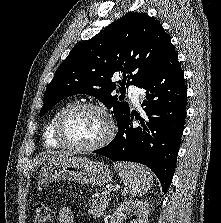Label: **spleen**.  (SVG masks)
Here are the masks:
<instances>
[{"label":"spleen","instance_id":"3e777b00","mask_svg":"<svg viewBox=\"0 0 221 223\" xmlns=\"http://www.w3.org/2000/svg\"><path fill=\"white\" fill-rule=\"evenodd\" d=\"M114 167L133 196L144 195L151 188L153 178L144 166L130 162H118L114 164Z\"/></svg>","mask_w":221,"mask_h":223}]
</instances>
